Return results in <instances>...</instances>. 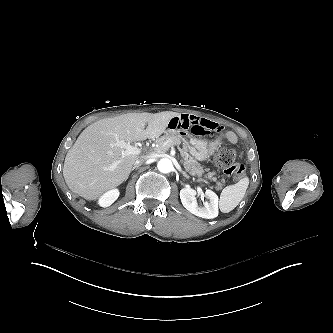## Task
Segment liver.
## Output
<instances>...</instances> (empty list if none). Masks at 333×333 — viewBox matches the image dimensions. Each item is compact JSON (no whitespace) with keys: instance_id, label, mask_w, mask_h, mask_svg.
Here are the masks:
<instances>
[{"instance_id":"obj_1","label":"liver","mask_w":333,"mask_h":333,"mask_svg":"<svg viewBox=\"0 0 333 333\" xmlns=\"http://www.w3.org/2000/svg\"><path fill=\"white\" fill-rule=\"evenodd\" d=\"M178 116L172 111L127 113L89 125L65 157L63 176L69 189L87 200H96L120 185L142 157L128 155L122 159L124 149L114 145L116 139L131 143L158 138L169 121Z\"/></svg>"}]
</instances>
